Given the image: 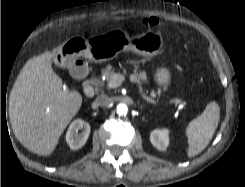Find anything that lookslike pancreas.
Listing matches in <instances>:
<instances>
[{
	"label": "pancreas",
	"mask_w": 245,
	"mask_h": 187,
	"mask_svg": "<svg viewBox=\"0 0 245 187\" xmlns=\"http://www.w3.org/2000/svg\"><path fill=\"white\" fill-rule=\"evenodd\" d=\"M102 74L105 76L108 83L111 81L114 74H116L114 68L112 65H107L104 69H102ZM131 80L133 82H136L138 84L141 83H147L148 79L145 73H138L136 70H134L133 74L131 75ZM97 85H103L102 81H98Z\"/></svg>",
	"instance_id": "1"
}]
</instances>
